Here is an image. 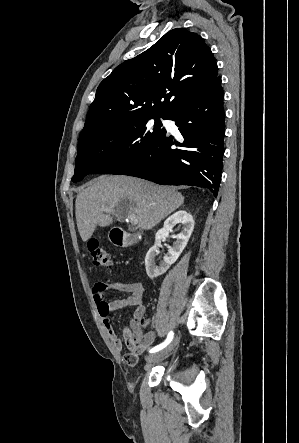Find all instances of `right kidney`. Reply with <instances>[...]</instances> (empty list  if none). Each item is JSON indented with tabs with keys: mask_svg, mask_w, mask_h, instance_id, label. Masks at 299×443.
Returning <instances> with one entry per match:
<instances>
[{
	"mask_svg": "<svg viewBox=\"0 0 299 443\" xmlns=\"http://www.w3.org/2000/svg\"><path fill=\"white\" fill-rule=\"evenodd\" d=\"M180 223L182 225L181 231L174 238L176 241L172 246H168V253L164 256L163 261L159 266L155 265V258L159 253L157 246L162 239H165L169 235V231ZM194 229V220L191 214L184 210H180L164 222L163 228H161L155 236V244L149 249L145 257V267L146 273L151 278L154 279L162 274H164L169 267L178 259L182 251L187 245V242L191 236Z\"/></svg>",
	"mask_w": 299,
	"mask_h": 443,
	"instance_id": "right-kidney-1",
	"label": "right kidney"
}]
</instances>
